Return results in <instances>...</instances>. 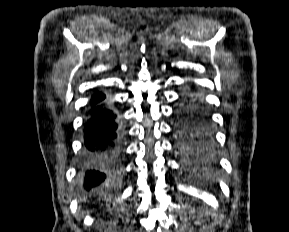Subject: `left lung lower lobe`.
Wrapping results in <instances>:
<instances>
[{"instance_id": "0a47b994", "label": "left lung lower lobe", "mask_w": 289, "mask_h": 232, "mask_svg": "<svg viewBox=\"0 0 289 232\" xmlns=\"http://www.w3.org/2000/svg\"><path fill=\"white\" fill-rule=\"evenodd\" d=\"M187 99L188 103L182 110V115L187 113L189 118L199 126L202 133L213 138L212 123L200 97L195 94H189Z\"/></svg>"}]
</instances>
